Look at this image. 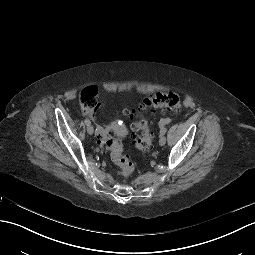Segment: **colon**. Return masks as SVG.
Returning a JSON list of instances; mask_svg holds the SVG:
<instances>
[{
  "mask_svg": "<svg viewBox=\"0 0 255 255\" xmlns=\"http://www.w3.org/2000/svg\"><path fill=\"white\" fill-rule=\"evenodd\" d=\"M96 89L94 87L85 88L80 95L82 109L86 113H92L96 108ZM157 109L162 112L177 113L181 109V101L177 94L172 92L157 93L145 98L139 110ZM132 141L134 146L143 152H148L152 148V132L145 118L140 117L132 125ZM100 144L111 150L113 162L119 169V174L124 178H130L135 171V164L130 157L122 152L121 143L118 138L110 132H106L100 139Z\"/></svg>",
  "mask_w": 255,
  "mask_h": 255,
  "instance_id": "colon-1",
  "label": "colon"
}]
</instances>
